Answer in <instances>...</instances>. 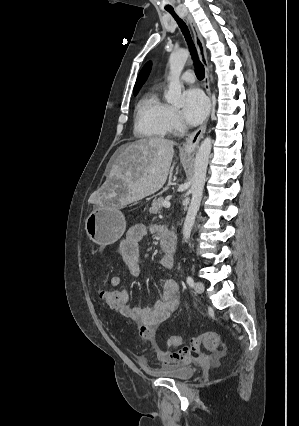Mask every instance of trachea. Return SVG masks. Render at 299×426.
Instances as JSON below:
<instances>
[{
  "mask_svg": "<svg viewBox=\"0 0 299 426\" xmlns=\"http://www.w3.org/2000/svg\"><path fill=\"white\" fill-rule=\"evenodd\" d=\"M166 10L173 16V18L178 23V25H179V27H180V29H181V31H182L185 39H186V42L188 44V47H189V50L191 52L192 58L194 59V61L196 63V74H197V77L200 80H202L204 78V76H205V69H204L203 64L200 62V60L198 58L197 51H196V48H195L194 43L192 41V38L190 36L188 27L186 26L185 22L178 17V15L175 13V11H174L173 8H167Z\"/></svg>",
  "mask_w": 299,
  "mask_h": 426,
  "instance_id": "1",
  "label": "trachea"
}]
</instances>
